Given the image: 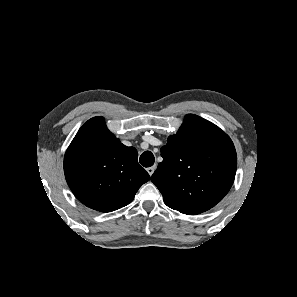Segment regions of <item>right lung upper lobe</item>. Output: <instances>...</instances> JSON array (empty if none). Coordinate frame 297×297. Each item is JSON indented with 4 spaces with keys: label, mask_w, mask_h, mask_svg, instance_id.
I'll use <instances>...</instances> for the list:
<instances>
[{
    "label": "right lung upper lobe",
    "mask_w": 297,
    "mask_h": 297,
    "mask_svg": "<svg viewBox=\"0 0 297 297\" xmlns=\"http://www.w3.org/2000/svg\"><path fill=\"white\" fill-rule=\"evenodd\" d=\"M134 147H126L106 127L103 117L88 120L64 158L66 181L87 207L111 212L128 205L149 180Z\"/></svg>",
    "instance_id": "obj_1"
}]
</instances>
